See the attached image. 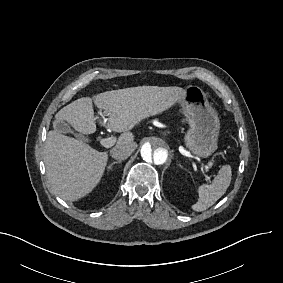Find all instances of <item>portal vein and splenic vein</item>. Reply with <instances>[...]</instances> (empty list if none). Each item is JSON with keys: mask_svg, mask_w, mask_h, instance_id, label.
I'll list each match as a JSON object with an SVG mask.
<instances>
[{"mask_svg": "<svg viewBox=\"0 0 283 283\" xmlns=\"http://www.w3.org/2000/svg\"><path fill=\"white\" fill-rule=\"evenodd\" d=\"M115 143V138H101L100 139V144L104 147V148H110L113 146V144ZM200 176H202L204 178L205 183H210L211 179H216V174H211V176H209V174L205 171V170H200L199 172ZM211 177V178H210Z\"/></svg>", "mask_w": 283, "mask_h": 283, "instance_id": "obj_1", "label": "portal vein and splenic vein"}]
</instances>
